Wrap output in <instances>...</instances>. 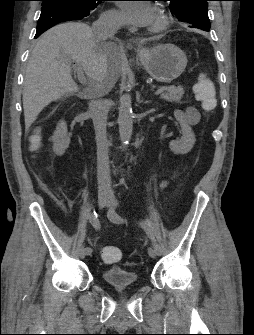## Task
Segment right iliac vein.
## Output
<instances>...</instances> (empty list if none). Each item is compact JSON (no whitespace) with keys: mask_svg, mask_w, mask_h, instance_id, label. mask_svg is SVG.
<instances>
[{"mask_svg":"<svg viewBox=\"0 0 254 335\" xmlns=\"http://www.w3.org/2000/svg\"><path fill=\"white\" fill-rule=\"evenodd\" d=\"M98 204L100 208H104L109 204V197L106 193H99ZM86 255V248L82 245L78 250V256L80 259H84Z\"/></svg>","mask_w":254,"mask_h":335,"instance_id":"obj_1","label":"right iliac vein"}]
</instances>
